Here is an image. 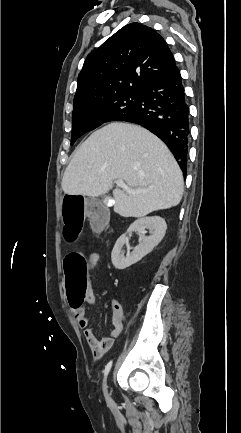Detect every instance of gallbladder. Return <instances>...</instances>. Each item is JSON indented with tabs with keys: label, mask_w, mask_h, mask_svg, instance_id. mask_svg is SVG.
Wrapping results in <instances>:
<instances>
[{
	"label": "gallbladder",
	"mask_w": 241,
	"mask_h": 433,
	"mask_svg": "<svg viewBox=\"0 0 241 433\" xmlns=\"http://www.w3.org/2000/svg\"><path fill=\"white\" fill-rule=\"evenodd\" d=\"M107 198H104V201ZM87 205V213L91 217H99L109 215L108 208L98 199L89 197L86 202Z\"/></svg>",
	"instance_id": "bac80fb5"
}]
</instances>
